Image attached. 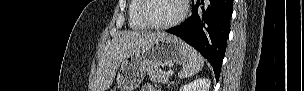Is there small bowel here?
Here are the masks:
<instances>
[{
    "instance_id": "small-bowel-1",
    "label": "small bowel",
    "mask_w": 304,
    "mask_h": 91,
    "mask_svg": "<svg viewBox=\"0 0 304 91\" xmlns=\"http://www.w3.org/2000/svg\"><path fill=\"white\" fill-rule=\"evenodd\" d=\"M158 89L154 88L152 85H146L142 88V91H157Z\"/></svg>"
}]
</instances>
